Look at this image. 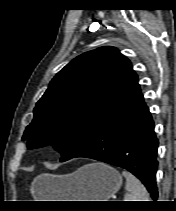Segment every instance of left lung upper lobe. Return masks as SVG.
Listing matches in <instances>:
<instances>
[{"instance_id": "5c2ea615", "label": "left lung upper lobe", "mask_w": 176, "mask_h": 211, "mask_svg": "<svg viewBox=\"0 0 176 211\" xmlns=\"http://www.w3.org/2000/svg\"><path fill=\"white\" fill-rule=\"evenodd\" d=\"M141 95L131 62L114 47L86 52L50 82L23 140L29 149L52 144L60 161L73 158L115 112Z\"/></svg>"}]
</instances>
